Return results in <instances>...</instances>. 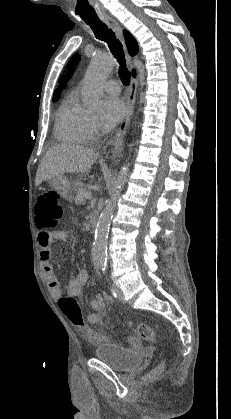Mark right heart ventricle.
<instances>
[{
  "label": "right heart ventricle",
  "mask_w": 231,
  "mask_h": 419,
  "mask_svg": "<svg viewBox=\"0 0 231 419\" xmlns=\"http://www.w3.org/2000/svg\"><path fill=\"white\" fill-rule=\"evenodd\" d=\"M89 121L90 118L80 107L76 95L71 94L63 101L57 111L55 136L63 142L84 144L89 140Z\"/></svg>",
  "instance_id": "e07e8e85"
}]
</instances>
